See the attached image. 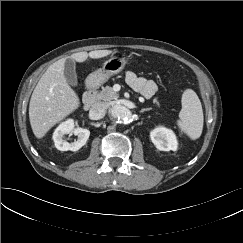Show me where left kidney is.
Here are the masks:
<instances>
[{
	"instance_id": "left-kidney-1",
	"label": "left kidney",
	"mask_w": 243,
	"mask_h": 243,
	"mask_svg": "<svg viewBox=\"0 0 243 243\" xmlns=\"http://www.w3.org/2000/svg\"><path fill=\"white\" fill-rule=\"evenodd\" d=\"M150 138L160 151H175L177 149L178 142L176 136L170 129L157 127L151 131Z\"/></svg>"
}]
</instances>
